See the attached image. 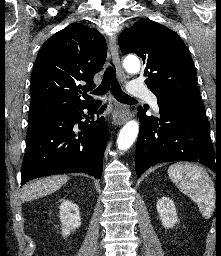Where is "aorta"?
<instances>
[{"mask_svg": "<svg viewBox=\"0 0 221 256\" xmlns=\"http://www.w3.org/2000/svg\"><path fill=\"white\" fill-rule=\"evenodd\" d=\"M125 69L130 73H137L140 70V61L136 58L124 62ZM139 133V124L135 121L127 122L120 130L117 146L119 150L129 149L136 140Z\"/></svg>", "mask_w": 221, "mask_h": 256, "instance_id": "obj_1", "label": "aorta"}]
</instances>
